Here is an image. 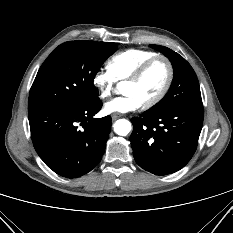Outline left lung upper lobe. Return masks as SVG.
Returning a JSON list of instances; mask_svg holds the SVG:
<instances>
[{
	"mask_svg": "<svg viewBox=\"0 0 233 233\" xmlns=\"http://www.w3.org/2000/svg\"><path fill=\"white\" fill-rule=\"evenodd\" d=\"M150 47L169 58L173 66L174 78L166 96L147 111L159 113L177 106L203 107L199 82L190 64L167 47L160 45H150Z\"/></svg>",
	"mask_w": 233,
	"mask_h": 233,
	"instance_id": "1",
	"label": "left lung upper lobe"
}]
</instances>
